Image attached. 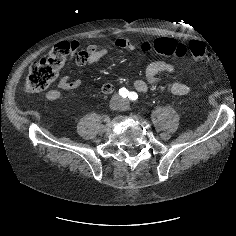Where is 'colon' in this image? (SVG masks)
<instances>
[{"label": "colon", "instance_id": "5ec220e1", "mask_svg": "<svg viewBox=\"0 0 236 236\" xmlns=\"http://www.w3.org/2000/svg\"><path fill=\"white\" fill-rule=\"evenodd\" d=\"M146 52L156 51L160 54L173 57H183L189 50L195 60L206 62L210 55L203 42L191 40L188 46L172 39L161 38L155 42H146L142 46ZM72 47L69 43L57 44L45 58L35 61L29 68L25 80V89L30 93L45 90L59 77L61 69L66 65L72 55Z\"/></svg>", "mask_w": 236, "mask_h": 236}]
</instances>
